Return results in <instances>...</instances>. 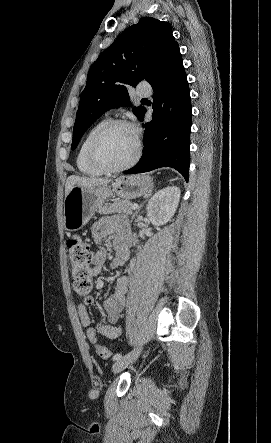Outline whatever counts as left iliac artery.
Masks as SVG:
<instances>
[{"label": "left iliac artery", "instance_id": "44dca946", "mask_svg": "<svg viewBox=\"0 0 271 443\" xmlns=\"http://www.w3.org/2000/svg\"><path fill=\"white\" fill-rule=\"evenodd\" d=\"M122 358V354H119V353H117V354H115L114 356H113V360L114 361H117V360H119V359H121Z\"/></svg>", "mask_w": 271, "mask_h": 443}]
</instances>
